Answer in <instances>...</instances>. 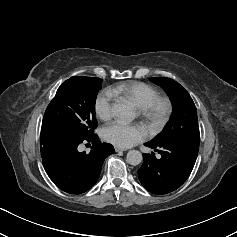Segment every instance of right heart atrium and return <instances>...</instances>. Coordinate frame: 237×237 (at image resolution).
Returning <instances> with one entry per match:
<instances>
[{"label":"right heart atrium","mask_w":237,"mask_h":237,"mask_svg":"<svg viewBox=\"0 0 237 237\" xmlns=\"http://www.w3.org/2000/svg\"><path fill=\"white\" fill-rule=\"evenodd\" d=\"M114 93L110 89L100 92L94 103L96 115L102 120H108L113 116L114 112Z\"/></svg>","instance_id":"right-heart-atrium-1"}]
</instances>
